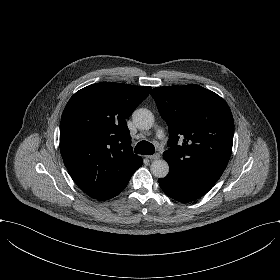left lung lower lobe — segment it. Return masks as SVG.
Masks as SVG:
<instances>
[{
  "instance_id": "0a47b994",
  "label": "left lung lower lobe",
  "mask_w": 280,
  "mask_h": 280,
  "mask_svg": "<svg viewBox=\"0 0 280 280\" xmlns=\"http://www.w3.org/2000/svg\"><path fill=\"white\" fill-rule=\"evenodd\" d=\"M216 181L205 178L184 179L173 172L159 179L162 190L169 197L182 203L192 202L205 195Z\"/></svg>"
}]
</instances>
